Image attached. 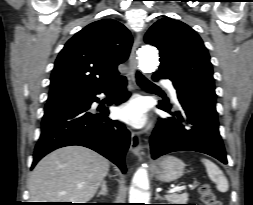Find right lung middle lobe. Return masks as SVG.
Here are the masks:
<instances>
[{"label":"right lung middle lobe","mask_w":253,"mask_h":205,"mask_svg":"<svg viewBox=\"0 0 253 205\" xmlns=\"http://www.w3.org/2000/svg\"><path fill=\"white\" fill-rule=\"evenodd\" d=\"M74 99V98H71ZM71 99H64V100H59V101H54V102H62V101H67V100H71ZM48 103H53V102H48Z\"/></svg>","instance_id":"obj_1"}]
</instances>
